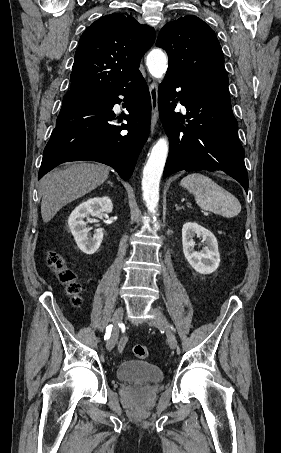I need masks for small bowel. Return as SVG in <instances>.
Returning <instances> with one entry per match:
<instances>
[{
	"label": "small bowel",
	"instance_id": "obj_1",
	"mask_svg": "<svg viewBox=\"0 0 281 453\" xmlns=\"http://www.w3.org/2000/svg\"><path fill=\"white\" fill-rule=\"evenodd\" d=\"M124 346H125V339H122L121 342H120V344H119V347L122 348V347H124Z\"/></svg>",
	"mask_w": 281,
	"mask_h": 453
}]
</instances>
